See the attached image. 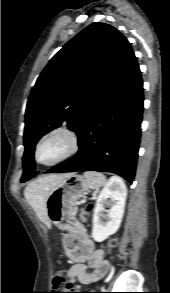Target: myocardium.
<instances>
[{
	"mask_svg": "<svg viewBox=\"0 0 170 293\" xmlns=\"http://www.w3.org/2000/svg\"><path fill=\"white\" fill-rule=\"evenodd\" d=\"M56 133H63L68 138V143H69L68 149L59 158L51 162H43L38 157L39 149L47 138H49L50 136ZM79 149H80V138L78 134L73 129L67 126H56L46 131L36 142L34 147V160L37 164H40L42 166H54L72 158L79 151Z\"/></svg>",
	"mask_w": 170,
	"mask_h": 293,
	"instance_id": "f54148a6",
	"label": "myocardium"
}]
</instances>
